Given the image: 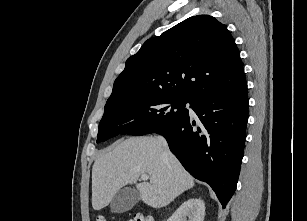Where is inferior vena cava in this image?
Returning <instances> with one entry per match:
<instances>
[{
	"label": "inferior vena cava",
	"mask_w": 307,
	"mask_h": 221,
	"mask_svg": "<svg viewBox=\"0 0 307 221\" xmlns=\"http://www.w3.org/2000/svg\"><path fill=\"white\" fill-rule=\"evenodd\" d=\"M159 138L165 143V145H167L166 141L162 137Z\"/></svg>",
	"instance_id": "inferior-vena-cava-1"
}]
</instances>
